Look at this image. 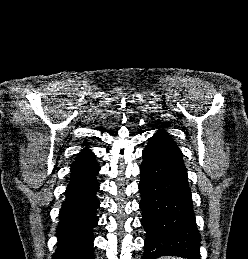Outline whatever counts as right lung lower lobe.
Masks as SVG:
<instances>
[{
	"label": "right lung lower lobe",
	"instance_id": "obj_1",
	"mask_svg": "<svg viewBox=\"0 0 248 259\" xmlns=\"http://www.w3.org/2000/svg\"><path fill=\"white\" fill-rule=\"evenodd\" d=\"M100 167L94 155L77 158L71 165V178L57 227L58 247L52 259H95L93 227L97 225L95 210L99 207L96 175Z\"/></svg>",
	"mask_w": 248,
	"mask_h": 259
}]
</instances>
